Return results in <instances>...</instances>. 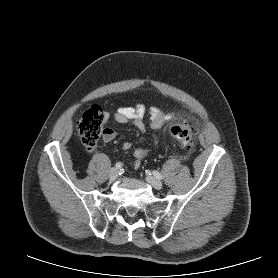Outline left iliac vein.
<instances>
[{"label":"left iliac vein","instance_id":"obj_1","mask_svg":"<svg viewBox=\"0 0 278 278\" xmlns=\"http://www.w3.org/2000/svg\"><path fill=\"white\" fill-rule=\"evenodd\" d=\"M146 181L157 190H160L162 188V182L152 176H147Z\"/></svg>","mask_w":278,"mask_h":278}]
</instances>
